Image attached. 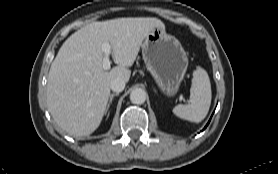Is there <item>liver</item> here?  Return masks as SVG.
Returning a JSON list of instances; mask_svg holds the SVG:
<instances>
[{
    "mask_svg": "<svg viewBox=\"0 0 278 174\" xmlns=\"http://www.w3.org/2000/svg\"><path fill=\"white\" fill-rule=\"evenodd\" d=\"M164 27L154 17H127L92 22L63 43L47 82L48 109L56 123L74 136H87L100 125L115 78L129 81L145 37ZM109 43L117 66L103 69L102 44Z\"/></svg>",
    "mask_w": 278,
    "mask_h": 174,
    "instance_id": "1",
    "label": "liver"
}]
</instances>
